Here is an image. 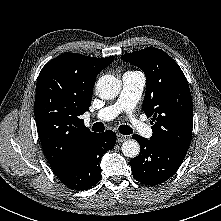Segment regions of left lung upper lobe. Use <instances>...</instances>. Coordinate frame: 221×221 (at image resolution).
<instances>
[{
  "instance_id": "1",
  "label": "left lung upper lobe",
  "mask_w": 221,
  "mask_h": 221,
  "mask_svg": "<svg viewBox=\"0 0 221 221\" xmlns=\"http://www.w3.org/2000/svg\"><path fill=\"white\" fill-rule=\"evenodd\" d=\"M122 59L138 66L146 75L142 108L153 120L150 140L187 152L193 128V103L179 65L164 51L151 47L126 53Z\"/></svg>"
}]
</instances>
